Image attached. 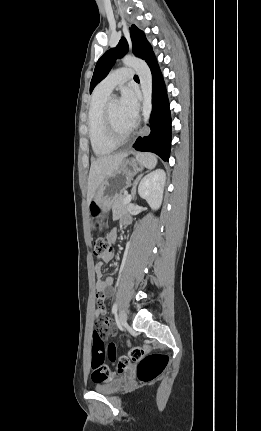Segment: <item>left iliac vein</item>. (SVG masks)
<instances>
[{"label": "left iliac vein", "mask_w": 261, "mask_h": 431, "mask_svg": "<svg viewBox=\"0 0 261 431\" xmlns=\"http://www.w3.org/2000/svg\"><path fill=\"white\" fill-rule=\"evenodd\" d=\"M126 321H127V312L124 309H122L119 312V323L120 325L123 326L126 324Z\"/></svg>", "instance_id": "1"}]
</instances>
